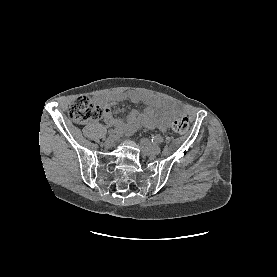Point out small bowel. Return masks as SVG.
Masks as SVG:
<instances>
[{"mask_svg":"<svg viewBox=\"0 0 277 277\" xmlns=\"http://www.w3.org/2000/svg\"><path fill=\"white\" fill-rule=\"evenodd\" d=\"M129 99L134 102L144 101L148 107L144 111L133 109L128 115V121L131 128L144 125L148 128H158L164 130L168 127L170 121V114L174 111L173 106L166 100L151 95H142L140 93L129 91L126 93L117 92L107 94L100 97L99 101L102 102L106 108L107 113L104 116V121L109 126H124L121 118H116L112 115L110 107L117 102Z\"/></svg>","mask_w":277,"mask_h":277,"instance_id":"obj_1","label":"small bowel"}]
</instances>
